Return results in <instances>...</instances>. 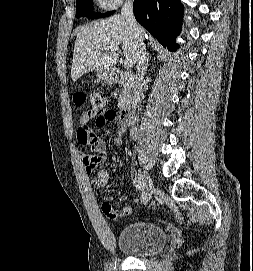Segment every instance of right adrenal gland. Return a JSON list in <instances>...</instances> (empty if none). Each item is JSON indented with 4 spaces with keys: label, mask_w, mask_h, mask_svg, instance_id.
<instances>
[{
    "label": "right adrenal gland",
    "mask_w": 253,
    "mask_h": 271,
    "mask_svg": "<svg viewBox=\"0 0 253 271\" xmlns=\"http://www.w3.org/2000/svg\"><path fill=\"white\" fill-rule=\"evenodd\" d=\"M149 62H150V55L149 53L147 54V58H146V63H145V71L147 70L148 66H149Z\"/></svg>",
    "instance_id": "obj_1"
}]
</instances>
